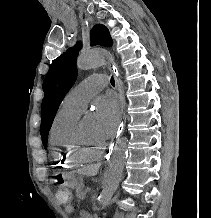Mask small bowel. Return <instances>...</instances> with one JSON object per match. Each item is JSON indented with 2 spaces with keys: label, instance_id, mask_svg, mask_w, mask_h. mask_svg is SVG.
<instances>
[{
  "label": "small bowel",
  "instance_id": "1",
  "mask_svg": "<svg viewBox=\"0 0 211 218\" xmlns=\"http://www.w3.org/2000/svg\"><path fill=\"white\" fill-rule=\"evenodd\" d=\"M66 209H67V211H68V212H70V211H72V209H73V206H71V205H68Z\"/></svg>",
  "mask_w": 211,
  "mask_h": 218
}]
</instances>
